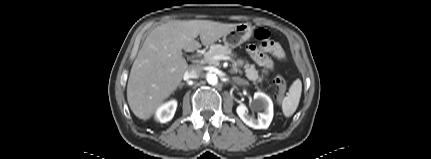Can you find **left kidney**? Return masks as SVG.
Returning a JSON list of instances; mask_svg holds the SVG:
<instances>
[{"instance_id":"1","label":"left kidney","mask_w":431,"mask_h":159,"mask_svg":"<svg viewBox=\"0 0 431 159\" xmlns=\"http://www.w3.org/2000/svg\"><path fill=\"white\" fill-rule=\"evenodd\" d=\"M254 108L258 113V118L249 115L248 109L245 105L241 104L237 107L236 112L242 121L254 129H267L273 119V102L269 96L263 92H256L254 94Z\"/></svg>"}]
</instances>
